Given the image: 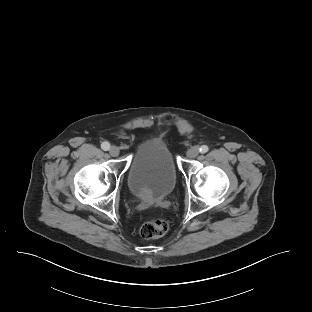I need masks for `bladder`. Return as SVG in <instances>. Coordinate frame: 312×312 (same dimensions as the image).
<instances>
[{"instance_id": "31cf9c89", "label": "bladder", "mask_w": 312, "mask_h": 312, "mask_svg": "<svg viewBox=\"0 0 312 312\" xmlns=\"http://www.w3.org/2000/svg\"><path fill=\"white\" fill-rule=\"evenodd\" d=\"M177 180L178 169L167 142L160 137L147 139L128 169L130 192L143 201H158L174 190Z\"/></svg>"}]
</instances>
